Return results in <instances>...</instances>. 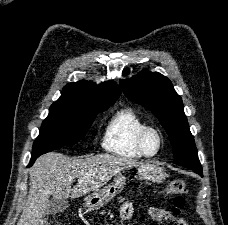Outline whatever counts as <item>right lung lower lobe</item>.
<instances>
[{
	"label": "right lung lower lobe",
	"mask_w": 228,
	"mask_h": 225,
	"mask_svg": "<svg viewBox=\"0 0 228 225\" xmlns=\"http://www.w3.org/2000/svg\"><path fill=\"white\" fill-rule=\"evenodd\" d=\"M54 150H55V149H54ZM50 151H52V150H50ZM50 151H42V152L32 153V157H31L29 166H31V165L34 163V161H35L40 155L45 154V153L50 152Z\"/></svg>",
	"instance_id": "1"
}]
</instances>
